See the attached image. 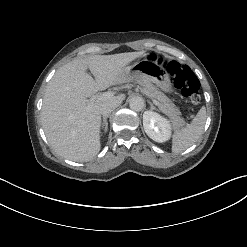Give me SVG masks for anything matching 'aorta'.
Segmentation results:
<instances>
[{"instance_id": "obj_1", "label": "aorta", "mask_w": 247, "mask_h": 247, "mask_svg": "<svg viewBox=\"0 0 247 247\" xmlns=\"http://www.w3.org/2000/svg\"><path fill=\"white\" fill-rule=\"evenodd\" d=\"M129 106L134 111H141L144 108V100L140 96H133L129 100Z\"/></svg>"}]
</instances>
